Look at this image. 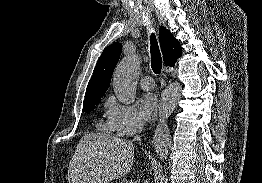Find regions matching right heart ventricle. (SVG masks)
I'll use <instances>...</instances> for the list:
<instances>
[{
	"label": "right heart ventricle",
	"instance_id": "right-heart-ventricle-1",
	"mask_svg": "<svg viewBox=\"0 0 262 183\" xmlns=\"http://www.w3.org/2000/svg\"><path fill=\"white\" fill-rule=\"evenodd\" d=\"M99 127H100L101 129H103V130H110V131H113L112 128L110 127L108 121H107L105 124L100 123V124H99Z\"/></svg>",
	"mask_w": 262,
	"mask_h": 183
}]
</instances>
